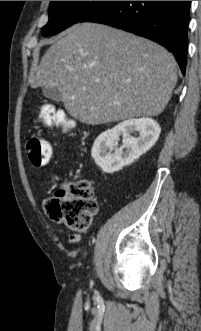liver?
<instances>
[{
    "label": "liver",
    "instance_id": "liver-1",
    "mask_svg": "<svg viewBox=\"0 0 201 331\" xmlns=\"http://www.w3.org/2000/svg\"><path fill=\"white\" fill-rule=\"evenodd\" d=\"M176 60L159 44L96 23L67 29L31 71L32 88L57 87L67 112L98 125L163 112Z\"/></svg>",
    "mask_w": 201,
    "mask_h": 331
}]
</instances>
